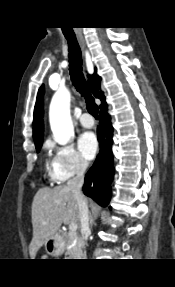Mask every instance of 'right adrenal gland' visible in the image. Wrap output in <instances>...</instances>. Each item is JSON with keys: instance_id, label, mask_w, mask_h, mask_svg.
<instances>
[{"instance_id": "obj_1", "label": "right adrenal gland", "mask_w": 175, "mask_h": 287, "mask_svg": "<svg viewBox=\"0 0 175 287\" xmlns=\"http://www.w3.org/2000/svg\"><path fill=\"white\" fill-rule=\"evenodd\" d=\"M93 224H94V220L92 218V215L90 214V228H92Z\"/></svg>"}]
</instances>
